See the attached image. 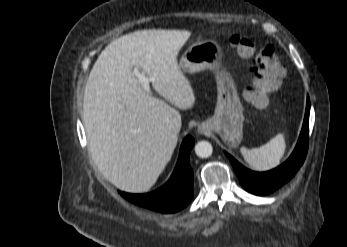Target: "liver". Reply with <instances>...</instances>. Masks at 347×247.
Instances as JSON below:
<instances>
[{"label": "liver", "instance_id": "6515ba94", "mask_svg": "<svg viewBox=\"0 0 347 247\" xmlns=\"http://www.w3.org/2000/svg\"><path fill=\"white\" fill-rule=\"evenodd\" d=\"M191 32L142 30L119 37L101 52L88 77L83 121L91 157L120 190L148 191L171 160L181 128L179 111L195 94L177 63ZM154 78L146 92L132 71Z\"/></svg>", "mask_w": 347, "mask_h": 247}]
</instances>
